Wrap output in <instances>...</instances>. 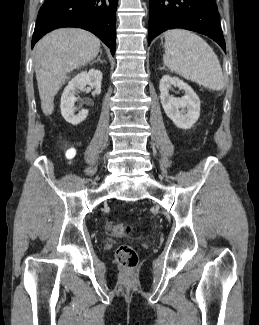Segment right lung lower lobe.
Returning a JSON list of instances; mask_svg holds the SVG:
<instances>
[{
	"label": "right lung lower lobe",
	"mask_w": 259,
	"mask_h": 325,
	"mask_svg": "<svg viewBox=\"0 0 259 325\" xmlns=\"http://www.w3.org/2000/svg\"><path fill=\"white\" fill-rule=\"evenodd\" d=\"M118 0H46L41 6L32 37V48L46 33L78 27L98 36L115 54Z\"/></svg>",
	"instance_id": "1"
}]
</instances>
